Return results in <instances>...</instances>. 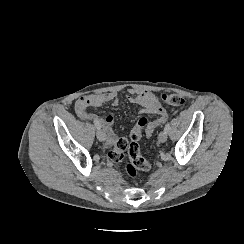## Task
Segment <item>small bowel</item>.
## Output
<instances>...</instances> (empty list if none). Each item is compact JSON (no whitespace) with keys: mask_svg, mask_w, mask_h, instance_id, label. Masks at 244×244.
<instances>
[{"mask_svg":"<svg viewBox=\"0 0 244 244\" xmlns=\"http://www.w3.org/2000/svg\"><path fill=\"white\" fill-rule=\"evenodd\" d=\"M127 100L130 103L137 104L141 107L140 113L154 115L155 118L150 120V124L145 128V134L151 136L154 131L164 124L167 120L168 113L155 93L149 90L131 89ZM106 103L118 105L119 100L114 93H98L81 96L75 102V113L79 119L83 121H91L97 119L100 122L105 137L106 145L112 146L116 141V134L113 130L114 117L111 114L98 116L89 111L90 108H99Z\"/></svg>","mask_w":244,"mask_h":244,"instance_id":"small-bowel-1","label":"small bowel"}]
</instances>
